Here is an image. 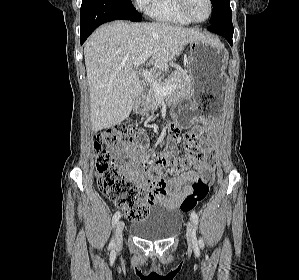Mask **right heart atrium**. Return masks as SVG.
<instances>
[{"label": "right heart atrium", "instance_id": "d8ad5b80", "mask_svg": "<svg viewBox=\"0 0 299 280\" xmlns=\"http://www.w3.org/2000/svg\"><path fill=\"white\" fill-rule=\"evenodd\" d=\"M133 1H134L135 6L138 9L144 10L147 8L150 0H133Z\"/></svg>", "mask_w": 299, "mask_h": 280}]
</instances>
